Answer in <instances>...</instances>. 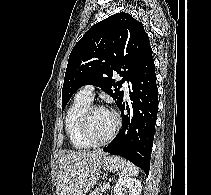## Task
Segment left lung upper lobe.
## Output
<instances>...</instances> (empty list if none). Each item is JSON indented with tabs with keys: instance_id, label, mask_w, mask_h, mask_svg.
Returning a JSON list of instances; mask_svg holds the SVG:
<instances>
[{
	"instance_id": "obj_1",
	"label": "left lung upper lobe",
	"mask_w": 211,
	"mask_h": 195,
	"mask_svg": "<svg viewBox=\"0 0 211 195\" xmlns=\"http://www.w3.org/2000/svg\"><path fill=\"white\" fill-rule=\"evenodd\" d=\"M153 59L149 37L141 22L128 13L114 14L93 25L72 49L62 88V110L83 85L100 87L119 106L125 80L131 82ZM123 79L114 82V73Z\"/></svg>"
}]
</instances>
